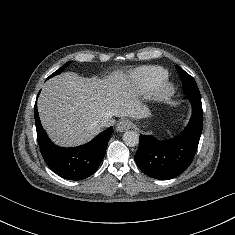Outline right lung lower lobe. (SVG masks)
<instances>
[{"instance_id":"obj_1","label":"right lung lower lobe","mask_w":235,"mask_h":235,"mask_svg":"<svg viewBox=\"0 0 235 235\" xmlns=\"http://www.w3.org/2000/svg\"><path fill=\"white\" fill-rule=\"evenodd\" d=\"M34 114L41 154L48 166L57 175L68 180H81L91 176L98 169L105 156L106 147L112 135V127L98 134L85 145L63 148L55 145L42 128L37 103L35 104Z\"/></svg>"}]
</instances>
